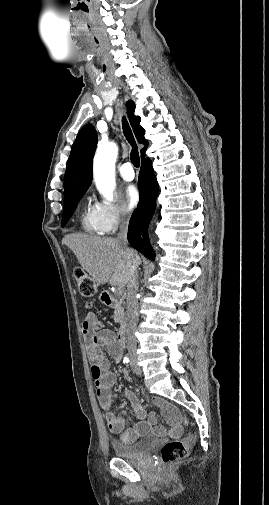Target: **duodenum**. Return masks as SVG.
<instances>
[{"label": "duodenum", "instance_id": "410a0bca", "mask_svg": "<svg viewBox=\"0 0 269 505\" xmlns=\"http://www.w3.org/2000/svg\"><path fill=\"white\" fill-rule=\"evenodd\" d=\"M101 300L104 305L110 308H116L120 305V301L109 292H103L101 294ZM126 331H127L126 322L122 321L117 331V341L121 346H124L126 343Z\"/></svg>", "mask_w": 269, "mask_h": 505}]
</instances>
